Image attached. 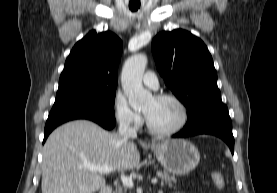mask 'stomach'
Instances as JSON below:
<instances>
[{
	"instance_id": "0dacf381",
	"label": "stomach",
	"mask_w": 277,
	"mask_h": 193,
	"mask_svg": "<svg viewBox=\"0 0 277 193\" xmlns=\"http://www.w3.org/2000/svg\"><path fill=\"white\" fill-rule=\"evenodd\" d=\"M151 149L164 169L174 175H185L191 172L200 161L198 149L184 139L154 142Z\"/></svg>"
}]
</instances>
